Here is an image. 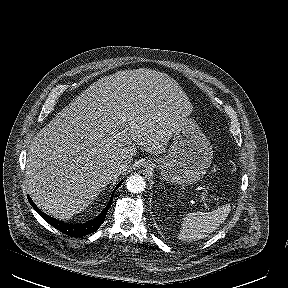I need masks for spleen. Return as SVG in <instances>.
<instances>
[{
    "instance_id": "1",
    "label": "spleen",
    "mask_w": 288,
    "mask_h": 288,
    "mask_svg": "<svg viewBox=\"0 0 288 288\" xmlns=\"http://www.w3.org/2000/svg\"><path fill=\"white\" fill-rule=\"evenodd\" d=\"M230 206L223 205L210 212L188 213L183 219L178 239L184 242H192L204 239L214 232L227 218Z\"/></svg>"
}]
</instances>
